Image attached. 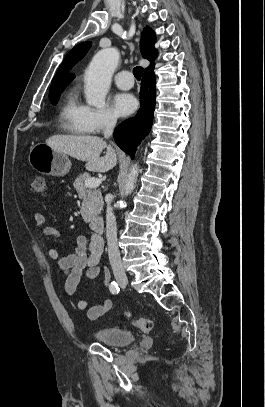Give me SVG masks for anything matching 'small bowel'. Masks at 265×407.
<instances>
[{
  "mask_svg": "<svg viewBox=\"0 0 265 407\" xmlns=\"http://www.w3.org/2000/svg\"><path fill=\"white\" fill-rule=\"evenodd\" d=\"M32 217L44 235L59 237L60 232L57 228L45 226V218L42 214L32 211ZM101 255L102 246L99 238L92 237L88 246L87 239L83 235L76 236L75 249L70 255L60 257L56 249L48 251L49 258L55 260L59 270L66 275L64 289L69 296L76 293L83 274L88 279H96L102 274L105 284H109L111 276L101 265ZM76 306L80 311L87 310L88 319L95 321L112 308V301L109 298H104L101 304L89 307L88 301L82 298L77 301Z\"/></svg>",
  "mask_w": 265,
  "mask_h": 407,
  "instance_id": "small-bowel-1",
  "label": "small bowel"
}]
</instances>
